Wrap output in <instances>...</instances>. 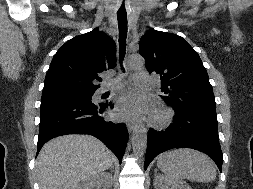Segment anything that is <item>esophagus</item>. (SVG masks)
Here are the masks:
<instances>
[{"mask_svg":"<svg viewBox=\"0 0 253 189\" xmlns=\"http://www.w3.org/2000/svg\"><path fill=\"white\" fill-rule=\"evenodd\" d=\"M136 128V124L134 123H128L127 124V129L131 133L134 129Z\"/></svg>","mask_w":253,"mask_h":189,"instance_id":"1","label":"esophagus"}]
</instances>
